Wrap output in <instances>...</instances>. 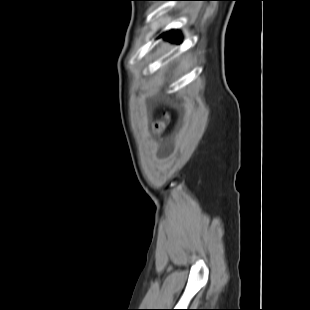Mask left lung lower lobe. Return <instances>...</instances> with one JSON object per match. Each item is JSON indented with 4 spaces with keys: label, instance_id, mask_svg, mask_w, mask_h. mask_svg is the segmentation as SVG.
<instances>
[{
    "label": "left lung lower lobe",
    "instance_id": "1",
    "mask_svg": "<svg viewBox=\"0 0 310 310\" xmlns=\"http://www.w3.org/2000/svg\"><path fill=\"white\" fill-rule=\"evenodd\" d=\"M178 35V32H174L172 34L166 35L164 38L172 42H180V40L176 37Z\"/></svg>",
    "mask_w": 310,
    "mask_h": 310
}]
</instances>
